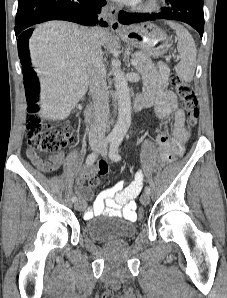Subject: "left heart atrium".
<instances>
[{
	"label": "left heart atrium",
	"instance_id": "39dd6f15",
	"mask_svg": "<svg viewBox=\"0 0 227 298\" xmlns=\"http://www.w3.org/2000/svg\"><path fill=\"white\" fill-rule=\"evenodd\" d=\"M119 2H122V3H127V4H133L134 2L138 1V0H117Z\"/></svg>",
	"mask_w": 227,
	"mask_h": 298
}]
</instances>
